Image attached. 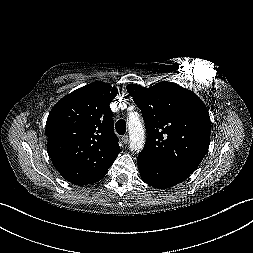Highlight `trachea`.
Masks as SVG:
<instances>
[{"mask_svg":"<svg viewBox=\"0 0 253 253\" xmlns=\"http://www.w3.org/2000/svg\"><path fill=\"white\" fill-rule=\"evenodd\" d=\"M115 128L119 135H124L126 133V122L123 119L118 120Z\"/></svg>","mask_w":253,"mask_h":253,"instance_id":"trachea-1","label":"trachea"}]
</instances>
